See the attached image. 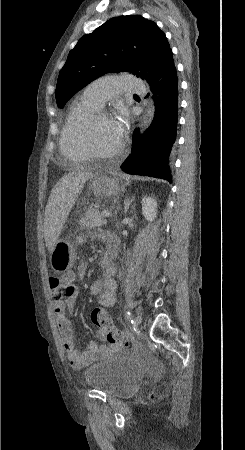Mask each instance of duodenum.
<instances>
[{
  "label": "duodenum",
  "instance_id": "1",
  "mask_svg": "<svg viewBox=\"0 0 245 450\" xmlns=\"http://www.w3.org/2000/svg\"><path fill=\"white\" fill-rule=\"evenodd\" d=\"M110 264H111V260L109 257H105L104 259H102L100 261V266L104 271H107L109 269Z\"/></svg>",
  "mask_w": 245,
  "mask_h": 450
}]
</instances>
